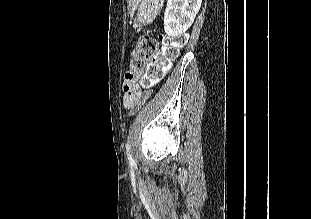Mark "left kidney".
I'll return each instance as SVG.
<instances>
[{"label": "left kidney", "mask_w": 311, "mask_h": 219, "mask_svg": "<svg viewBox=\"0 0 311 219\" xmlns=\"http://www.w3.org/2000/svg\"><path fill=\"white\" fill-rule=\"evenodd\" d=\"M202 0H168L164 13V30L168 36L185 33L200 10Z\"/></svg>", "instance_id": "obj_1"}]
</instances>
